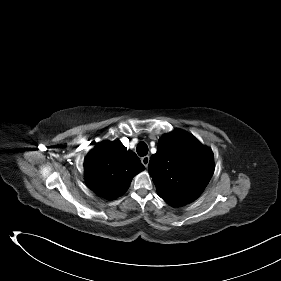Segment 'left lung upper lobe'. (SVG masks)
I'll return each instance as SVG.
<instances>
[{
	"instance_id": "left-lung-upper-lobe-1",
	"label": "left lung upper lobe",
	"mask_w": 281,
	"mask_h": 281,
	"mask_svg": "<svg viewBox=\"0 0 281 281\" xmlns=\"http://www.w3.org/2000/svg\"><path fill=\"white\" fill-rule=\"evenodd\" d=\"M148 169L158 195L179 207L204 191L214 172V156L193 135L176 130L159 139Z\"/></svg>"
}]
</instances>
